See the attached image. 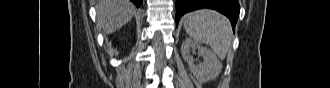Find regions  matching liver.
Here are the masks:
<instances>
[{"mask_svg":"<svg viewBox=\"0 0 330 88\" xmlns=\"http://www.w3.org/2000/svg\"><path fill=\"white\" fill-rule=\"evenodd\" d=\"M96 11L99 26L105 34H111L132 19L135 6L128 0H99Z\"/></svg>","mask_w":330,"mask_h":88,"instance_id":"6515ba94","label":"liver"}]
</instances>
